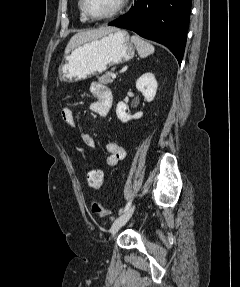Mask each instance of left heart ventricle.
<instances>
[{"mask_svg":"<svg viewBox=\"0 0 240 287\" xmlns=\"http://www.w3.org/2000/svg\"><path fill=\"white\" fill-rule=\"evenodd\" d=\"M119 0H87L89 11L95 16H103L110 13Z\"/></svg>","mask_w":240,"mask_h":287,"instance_id":"1","label":"left heart ventricle"}]
</instances>
